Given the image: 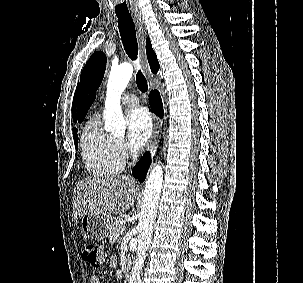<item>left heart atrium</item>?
Instances as JSON below:
<instances>
[{"instance_id":"39dd6f15","label":"left heart atrium","mask_w":303,"mask_h":283,"mask_svg":"<svg viewBox=\"0 0 303 283\" xmlns=\"http://www.w3.org/2000/svg\"><path fill=\"white\" fill-rule=\"evenodd\" d=\"M152 134V121L145 108H134L127 115V138L134 148L143 147Z\"/></svg>"}]
</instances>
